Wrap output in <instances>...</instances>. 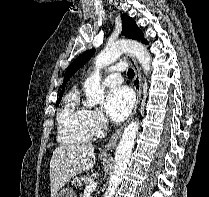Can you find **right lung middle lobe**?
Masks as SVG:
<instances>
[{"label": "right lung middle lobe", "instance_id": "right-lung-middle-lobe-1", "mask_svg": "<svg viewBox=\"0 0 209 197\" xmlns=\"http://www.w3.org/2000/svg\"><path fill=\"white\" fill-rule=\"evenodd\" d=\"M60 99L57 101V106L59 105Z\"/></svg>", "mask_w": 209, "mask_h": 197}]
</instances>
